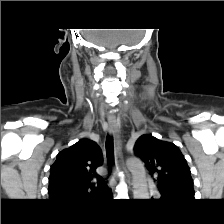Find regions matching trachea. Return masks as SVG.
Returning a JSON list of instances; mask_svg holds the SVG:
<instances>
[{
	"instance_id": "3493384b",
	"label": "trachea",
	"mask_w": 224,
	"mask_h": 224,
	"mask_svg": "<svg viewBox=\"0 0 224 224\" xmlns=\"http://www.w3.org/2000/svg\"><path fill=\"white\" fill-rule=\"evenodd\" d=\"M106 155L110 174L114 163V149H113V139L109 135L107 136L106 139Z\"/></svg>"
}]
</instances>
